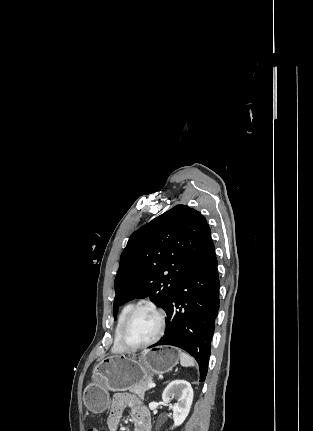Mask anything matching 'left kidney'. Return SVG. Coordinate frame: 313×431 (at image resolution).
I'll list each match as a JSON object with an SVG mask.
<instances>
[{
	"instance_id": "left-kidney-1",
	"label": "left kidney",
	"mask_w": 313,
	"mask_h": 431,
	"mask_svg": "<svg viewBox=\"0 0 313 431\" xmlns=\"http://www.w3.org/2000/svg\"><path fill=\"white\" fill-rule=\"evenodd\" d=\"M163 401L173 411V427L180 426L188 416L193 401V389L186 380H174L168 384L162 394ZM176 399V403H171Z\"/></svg>"
}]
</instances>
